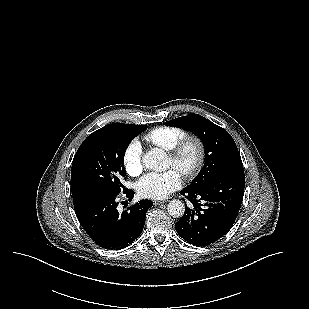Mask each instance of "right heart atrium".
Here are the masks:
<instances>
[{
    "label": "right heart atrium",
    "mask_w": 309,
    "mask_h": 309,
    "mask_svg": "<svg viewBox=\"0 0 309 309\" xmlns=\"http://www.w3.org/2000/svg\"><path fill=\"white\" fill-rule=\"evenodd\" d=\"M123 163L131 176L139 175L143 170V149L139 141H131L124 150Z\"/></svg>",
    "instance_id": "right-heart-atrium-1"
}]
</instances>
